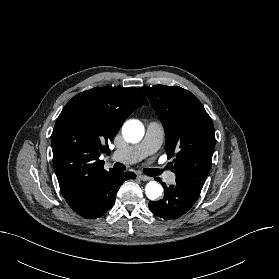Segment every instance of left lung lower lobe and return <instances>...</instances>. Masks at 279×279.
I'll use <instances>...</instances> for the list:
<instances>
[{
  "instance_id": "left-lung-lower-lobe-1",
  "label": "left lung lower lobe",
  "mask_w": 279,
  "mask_h": 279,
  "mask_svg": "<svg viewBox=\"0 0 279 279\" xmlns=\"http://www.w3.org/2000/svg\"><path fill=\"white\" fill-rule=\"evenodd\" d=\"M162 185L165 189L163 199L156 202L150 201L149 208L155 215L164 219H176L185 214L200 195V191L179 183L170 187H166L165 183Z\"/></svg>"
}]
</instances>
